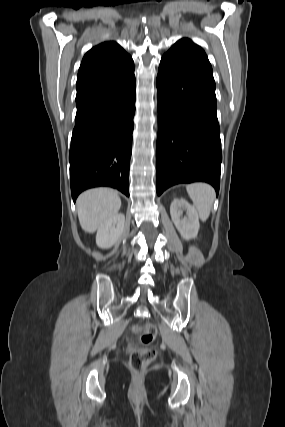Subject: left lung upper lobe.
<instances>
[{
	"label": "left lung upper lobe",
	"instance_id": "1",
	"mask_svg": "<svg viewBox=\"0 0 285 427\" xmlns=\"http://www.w3.org/2000/svg\"><path fill=\"white\" fill-rule=\"evenodd\" d=\"M177 63L187 66L196 73L204 75L214 81L211 64L204 50L194 44L190 39L183 38L177 41L170 50L164 54Z\"/></svg>",
	"mask_w": 285,
	"mask_h": 427
}]
</instances>
